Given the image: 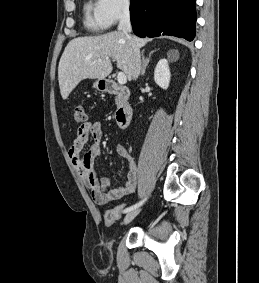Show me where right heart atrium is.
Returning <instances> with one entry per match:
<instances>
[{"mask_svg": "<svg viewBox=\"0 0 259 283\" xmlns=\"http://www.w3.org/2000/svg\"><path fill=\"white\" fill-rule=\"evenodd\" d=\"M96 5L106 28L113 27L129 17L133 10L131 0H97Z\"/></svg>", "mask_w": 259, "mask_h": 283, "instance_id": "1", "label": "right heart atrium"}]
</instances>
